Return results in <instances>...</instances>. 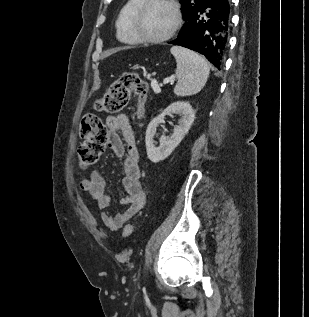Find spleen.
Returning a JSON list of instances; mask_svg holds the SVG:
<instances>
[{
  "instance_id": "spleen-1",
  "label": "spleen",
  "mask_w": 309,
  "mask_h": 317,
  "mask_svg": "<svg viewBox=\"0 0 309 317\" xmlns=\"http://www.w3.org/2000/svg\"><path fill=\"white\" fill-rule=\"evenodd\" d=\"M170 52L177 63L178 82L174 88V94L184 97L200 92L210 73L206 60L194 51L180 46H173Z\"/></svg>"
}]
</instances>
